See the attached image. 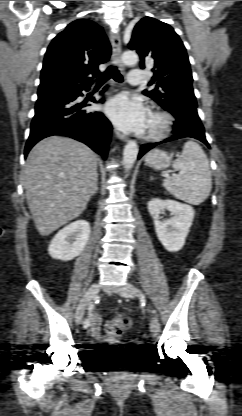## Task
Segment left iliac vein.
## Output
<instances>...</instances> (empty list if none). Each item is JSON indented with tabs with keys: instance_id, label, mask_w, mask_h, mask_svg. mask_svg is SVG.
Returning a JSON list of instances; mask_svg holds the SVG:
<instances>
[{
	"instance_id": "1",
	"label": "left iliac vein",
	"mask_w": 242,
	"mask_h": 416,
	"mask_svg": "<svg viewBox=\"0 0 242 416\" xmlns=\"http://www.w3.org/2000/svg\"><path fill=\"white\" fill-rule=\"evenodd\" d=\"M119 294L122 297L133 298V297H137L139 295V292H138V289L133 284L126 283V285L124 286V288L121 289ZM151 313H152V317H151V321H150V331L154 335H157L160 331V323H159V320L156 317L154 311H151Z\"/></svg>"
}]
</instances>
